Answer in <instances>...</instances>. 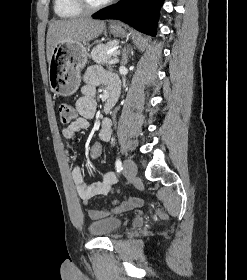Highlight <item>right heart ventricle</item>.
<instances>
[{"mask_svg": "<svg viewBox=\"0 0 247 280\" xmlns=\"http://www.w3.org/2000/svg\"><path fill=\"white\" fill-rule=\"evenodd\" d=\"M54 11L62 19H71L84 13L75 0H54Z\"/></svg>", "mask_w": 247, "mask_h": 280, "instance_id": "1", "label": "right heart ventricle"}]
</instances>
